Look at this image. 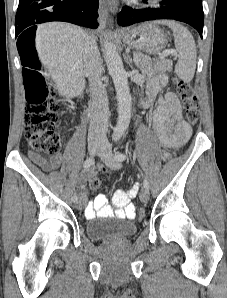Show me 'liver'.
<instances>
[{"mask_svg": "<svg viewBox=\"0 0 227 298\" xmlns=\"http://www.w3.org/2000/svg\"><path fill=\"white\" fill-rule=\"evenodd\" d=\"M88 38L85 30L69 23L38 26L35 38L38 56L59 94L67 99L84 91V49Z\"/></svg>", "mask_w": 227, "mask_h": 298, "instance_id": "1", "label": "liver"}]
</instances>
